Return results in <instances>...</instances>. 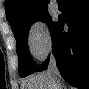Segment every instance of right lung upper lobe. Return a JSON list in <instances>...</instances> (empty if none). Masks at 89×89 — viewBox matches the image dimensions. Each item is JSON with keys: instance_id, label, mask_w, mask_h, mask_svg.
I'll use <instances>...</instances> for the list:
<instances>
[{"instance_id": "1", "label": "right lung upper lobe", "mask_w": 89, "mask_h": 89, "mask_svg": "<svg viewBox=\"0 0 89 89\" xmlns=\"http://www.w3.org/2000/svg\"><path fill=\"white\" fill-rule=\"evenodd\" d=\"M49 0H6V17L13 27L17 22L47 10Z\"/></svg>"}]
</instances>
